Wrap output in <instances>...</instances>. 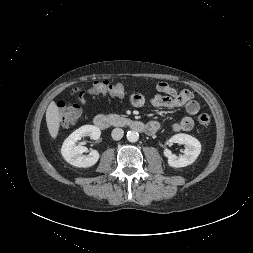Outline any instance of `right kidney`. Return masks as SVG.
<instances>
[{"label": "right kidney", "mask_w": 253, "mask_h": 253, "mask_svg": "<svg viewBox=\"0 0 253 253\" xmlns=\"http://www.w3.org/2000/svg\"><path fill=\"white\" fill-rule=\"evenodd\" d=\"M101 131L93 125H84L71 133L63 142L61 154L64 159L71 165L79 168H87L95 165L99 160V153L92 150L88 157L83 156L88 149L81 145H76L82 137L89 136L93 140L99 139Z\"/></svg>", "instance_id": "ca27d5eb"}]
</instances>
